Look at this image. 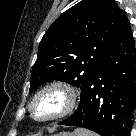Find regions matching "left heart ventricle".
<instances>
[{"label": "left heart ventricle", "mask_w": 136, "mask_h": 136, "mask_svg": "<svg viewBox=\"0 0 136 136\" xmlns=\"http://www.w3.org/2000/svg\"><path fill=\"white\" fill-rule=\"evenodd\" d=\"M64 96L59 91H50L41 95L34 104V114L39 118L51 116L64 105Z\"/></svg>", "instance_id": "left-heart-ventricle-1"}]
</instances>
